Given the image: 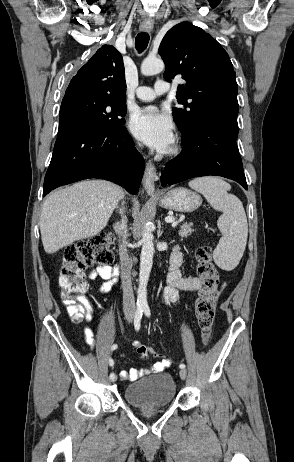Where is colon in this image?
<instances>
[{
	"label": "colon",
	"mask_w": 294,
	"mask_h": 462,
	"mask_svg": "<svg viewBox=\"0 0 294 462\" xmlns=\"http://www.w3.org/2000/svg\"><path fill=\"white\" fill-rule=\"evenodd\" d=\"M113 236L98 234L86 241L67 248L59 275V286L71 319H82L84 308L81 294L88 287L85 272L94 265H109L113 261ZM197 273L202 282L195 304L196 318L201 330L202 341L206 344L212 337L215 318L219 276L212 260L211 249L199 246L195 252ZM149 354L158 357L152 348Z\"/></svg>",
	"instance_id": "obj_1"
}]
</instances>
